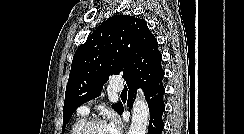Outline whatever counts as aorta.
Segmentation results:
<instances>
[{"mask_svg": "<svg viewBox=\"0 0 244 134\" xmlns=\"http://www.w3.org/2000/svg\"><path fill=\"white\" fill-rule=\"evenodd\" d=\"M149 122V107L143 92L138 91L132 108L131 125L128 134H146Z\"/></svg>", "mask_w": 244, "mask_h": 134, "instance_id": "762f6f07", "label": "aorta"}]
</instances>
